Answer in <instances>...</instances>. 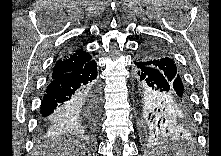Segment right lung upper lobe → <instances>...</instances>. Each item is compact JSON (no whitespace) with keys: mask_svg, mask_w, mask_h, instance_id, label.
Segmentation results:
<instances>
[{"mask_svg":"<svg viewBox=\"0 0 221 156\" xmlns=\"http://www.w3.org/2000/svg\"><path fill=\"white\" fill-rule=\"evenodd\" d=\"M91 60L90 54L86 51L82 49L73 50L56 62L52 73V79L59 75L81 69Z\"/></svg>","mask_w":221,"mask_h":156,"instance_id":"cb5924a9","label":"right lung upper lobe"}]
</instances>
